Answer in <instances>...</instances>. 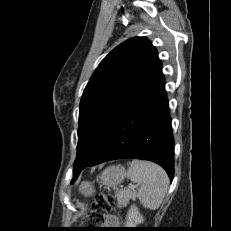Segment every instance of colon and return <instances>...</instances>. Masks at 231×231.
I'll use <instances>...</instances> for the list:
<instances>
[{
  "label": "colon",
  "instance_id": "obj_1",
  "mask_svg": "<svg viewBox=\"0 0 231 231\" xmlns=\"http://www.w3.org/2000/svg\"><path fill=\"white\" fill-rule=\"evenodd\" d=\"M114 205V196L109 191L99 193L92 204L90 212L83 220V223L89 227L101 226L105 222L106 215Z\"/></svg>",
  "mask_w": 231,
  "mask_h": 231
}]
</instances>
